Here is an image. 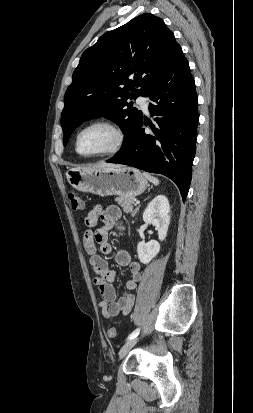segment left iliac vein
Here are the masks:
<instances>
[{"label":"left iliac vein","mask_w":253,"mask_h":413,"mask_svg":"<svg viewBox=\"0 0 253 413\" xmlns=\"http://www.w3.org/2000/svg\"><path fill=\"white\" fill-rule=\"evenodd\" d=\"M138 338L135 337L133 339L128 340L119 352V359H122L126 356V354L133 348V346L137 343Z\"/></svg>","instance_id":"obj_1"}]
</instances>
